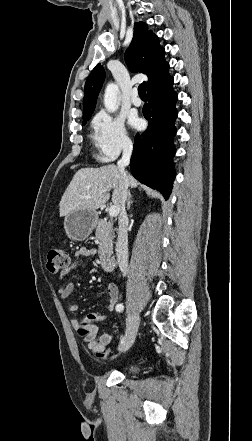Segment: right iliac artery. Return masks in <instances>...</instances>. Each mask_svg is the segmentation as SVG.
Returning a JSON list of instances; mask_svg holds the SVG:
<instances>
[{
	"label": "right iliac artery",
	"mask_w": 252,
	"mask_h": 441,
	"mask_svg": "<svg viewBox=\"0 0 252 441\" xmlns=\"http://www.w3.org/2000/svg\"><path fill=\"white\" fill-rule=\"evenodd\" d=\"M123 309H124V306L122 304H118L117 307H116V310L118 312H122ZM121 344H124V339L123 338L121 339Z\"/></svg>",
	"instance_id": "right-iliac-artery-1"
}]
</instances>
